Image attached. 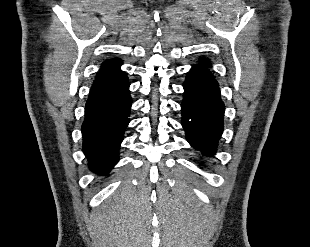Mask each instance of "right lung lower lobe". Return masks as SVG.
Segmentation results:
<instances>
[{
    "instance_id": "1",
    "label": "right lung lower lobe",
    "mask_w": 310,
    "mask_h": 247,
    "mask_svg": "<svg viewBox=\"0 0 310 247\" xmlns=\"http://www.w3.org/2000/svg\"><path fill=\"white\" fill-rule=\"evenodd\" d=\"M129 82L92 86L82 124L83 151L95 173L108 175L119 160V147L129 123Z\"/></svg>"
}]
</instances>
